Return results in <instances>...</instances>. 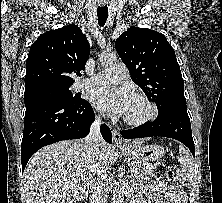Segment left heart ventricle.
I'll use <instances>...</instances> for the list:
<instances>
[{
  "label": "left heart ventricle",
  "mask_w": 222,
  "mask_h": 203,
  "mask_svg": "<svg viewBox=\"0 0 222 203\" xmlns=\"http://www.w3.org/2000/svg\"><path fill=\"white\" fill-rule=\"evenodd\" d=\"M148 113L147 106L140 100L132 98L125 114L129 119H140Z\"/></svg>",
  "instance_id": "b2bd125f"
}]
</instances>
